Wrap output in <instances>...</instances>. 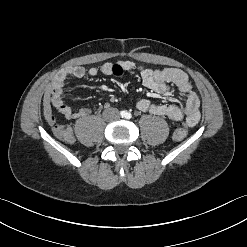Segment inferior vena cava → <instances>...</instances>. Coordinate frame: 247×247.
<instances>
[{"mask_svg":"<svg viewBox=\"0 0 247 247\" xmlns=\"http://www.w3.org/2000/svg\"><path fill=\"white\" fill-rule=\"evenodd\" d=\"M103 117L108 120L119 118V111L116 108H109L103 112Z\"/></svg>","mask_w":247,"mask_h":247,"instance_id":"inferior-vena-cava-1","label":"inferior vena cava"}]
</instances>
